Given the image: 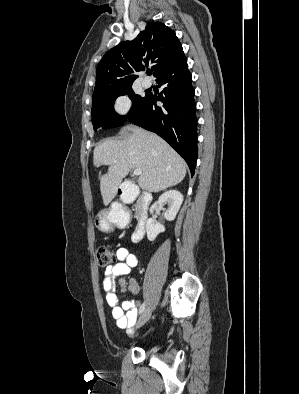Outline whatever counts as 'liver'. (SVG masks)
I'll use <instances>...</instances> for the list:
<instances>
[{
  "mask_svg": "<svg viewBox=\"0 0 299 394\" xmlns=\"http://www.w3.org/2000/svg\"><path fill=\"white\" fill-rule=\"evenodd\" d=\"M122 131L129 133L124 139H109L94 149V166L109 165L108 172L100 177L105 205L116 196L130 169H141L139 186L149 192L165 190L184 179L185 161L161 137L134 125Z\"/></svg>",
  "mask_w": 299,
  "mask_h": 394,
  "instance_id": "obj_1",
  "label": "liver"
}]
</instances>
